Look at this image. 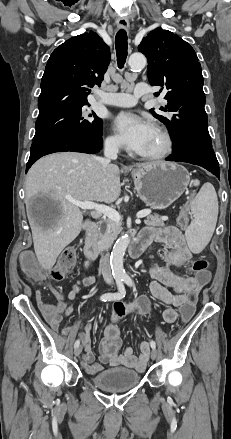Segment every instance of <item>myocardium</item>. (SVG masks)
<instances>
[{"label":"myocardium","mask_w":231,"mask_h":439,"mask_svg":"<svg viewBox=\"0 0 231 439\" xmlns=\"http://www.w3.org/2000/svg\"><path fill=\"white\" fill-rule=\"evenodd\" d=\"M154 129H156L161 134L163 141H164V146L157 153H153V154L139 153L140 157L147 159V160H160V159L166 158L167 156H169L172 153L173 148H174V141H173L172 135L170 134L168 129H166L165 127H163L161 125H156L154 127Z\"/></svg>","instance_id":"1"}]
</instances>
